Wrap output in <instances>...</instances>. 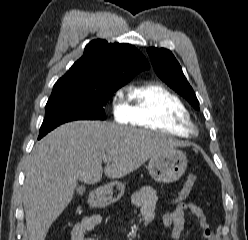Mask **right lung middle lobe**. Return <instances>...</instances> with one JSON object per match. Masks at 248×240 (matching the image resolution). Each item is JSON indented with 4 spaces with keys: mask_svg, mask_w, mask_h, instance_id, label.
<instances>
[{
    "mask_svg": "<svg viewBox=\"0 0 248 240\" xmlns=\"http://www.w3.org/2000/svg\"><path fill=\"white\" fill-rule=\"evenodd\" d=\"M117 88H64L53 90L45 107L41 132L74 120H105L103 107Z\"/></svg>",
    "mask_w": 248,
    "mask_h": 240,
    "instance_id": "right-lung-middle-lobe-1",
    "label": "right lung middle lobe"
}]
</instances>
